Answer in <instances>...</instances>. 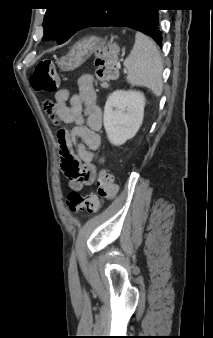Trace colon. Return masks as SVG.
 I'll return each mask as SVG.
<instances>
[{"mask_svg": "<svg viewBox=\"0 0 213 338\" xmlns=\"http://www.w3.org/2000/svg\"><path fill=\"white\" fill-rule=\"evenodd\" d=\"M118 57L119 49L116 44L110 43L98 48L94 66L95 76L101 83L107 84L115 77ZM29 80L33 90L38 93H53L59 87V78L54 64L50 60L40 61ZM60 153L62 158L64 157L61 167L67 177L74 176L77 171L82 169L80 161L73 157L69 148H61ZM96 188V193L87 195L71 191L67 196V205L70 211L73 213H97L100 209L101 201L113 198L117 192V184L113 176L104 170L99 173Z\"/></svg>", "mask_w": 213, "mask_h": 338, "instance_id": "colon-1", "label": "colon"}]
</instances>
